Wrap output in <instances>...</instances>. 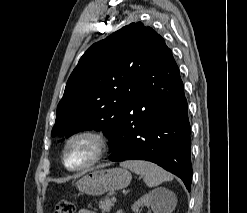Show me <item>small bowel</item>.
Instances as JSON below:
<instances>
[{
    "mask_svg": "<svg viewBox=\"0 0 247 213\" xmlns=\"http://www.w3.org/2000/svg\"><path fill=\"white\" fill-rule=\"evenodd\" d=\"M78 213H95V212L88 210V209H81L78 211Z\"/></svg>",
    "mask_w": 247,
    "mask_h": 213,
    "instance_id": "1",
    "label": "small bowel"
}]
</instances>
